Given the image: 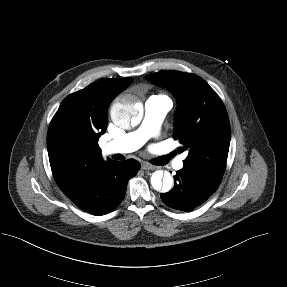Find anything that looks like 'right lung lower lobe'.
Masks as SVG:
<instances>
[{
  "label": "right lung lower lobe",
  "instance_id": "1",
  "mask_svg": "<svg viewBox=\"0 0 287 287\" xmlns=\"http://www.w3.org/2000/svg\"><path fill=\"white\" fill-rule=\"evenodd\" d=\"M139 169L140 163L134 159L103 162L92 170L69 199L92 215L107 214L123 200L128 180L134 177Z\"/></svg>",
  "mask_w": 287,
  "mask_h": 287
}]
</instances>
